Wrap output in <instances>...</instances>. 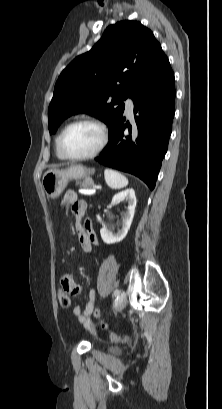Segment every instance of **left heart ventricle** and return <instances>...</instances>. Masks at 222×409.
Returning <instances> with one entry per match:
<instances>
[{"label":"left heart ventricle","mask_w":222,"mask_h":409,"mask_svg":"<svg viewBox=\"0 0 222 409\" xmlns=\"http://www.w3.org/2000/svg\"><path fill=\"white\" fill-rule=\"evenodd\" d=\"M101 141L100 130L91 124H81L71 128L64 139V149L72 156L93 152Z\"/></svg>","instance_id":"b2bd125f"}]
</instances>
